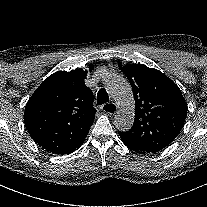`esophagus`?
<instances>
[{
	"label": "esophagus",
	"mask_w": 207,
	"mask_h": 207,
	"mask_svg": "<svg viewBox=\"0 0 207 207\" xmlns=\"http://www.w3.org/2000/svg\"><path fill=\"white\" fill-rule=\"evenodd\" d=\"M103 110L106 114L108 115H112L116 112L117 107L114 103L112 102H108L104 105Z\"/></svg>",
	"instance_id": "1"
}]
</instances>
